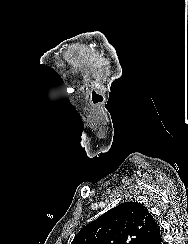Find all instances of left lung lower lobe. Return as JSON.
<instances>
[{"label":"left lung lower lobe","instance_id":"1","mask_svg":"<svg viewBox=\"0 0 188 244\" xmlns=\"http://www.w3.org/2000/svg\"><path fill=\"white\" fill-rule=\"evenodd\" d=\"M149 244H163L162 243V238H161V230H160V227L156 231L155 235L153 236V238L149 242Z\"/></svg>","mask_w":188,"mask_h":244}]
</instances>
